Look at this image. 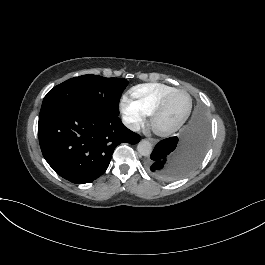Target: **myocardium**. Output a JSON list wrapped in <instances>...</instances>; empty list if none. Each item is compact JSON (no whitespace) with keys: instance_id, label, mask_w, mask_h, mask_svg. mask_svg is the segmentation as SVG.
<instances>
[{"instance_id":"obj_1","label":"myocardium","mask_w":265,"mask_h":265,"mask_svg":"<svg viewBox=\"0 0 265 265\" xmlns=\"http://www.w3.org/2000/svg\"><path fill=\"white\" fill-rule=\"evenodd\" d=\"M185 90L184 89H173L171 92H169L168 94H166L164 97H162L160 99V101L157 103L153 115H152V127L154 129V131L161 135V136H167L171 133H173L174 131L178 130L180 127H182L186 121L188 120L191 110H192V101L188 100V105L186 108V111L184 113V115L174 124L172 125H162L160 122V117L162 114V111L167 103V101L175 94L177 93H184Z\"/></svg>"}]
</instances>
